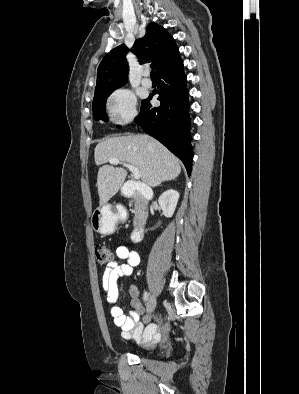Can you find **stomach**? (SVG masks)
I'll list each match as a JSON object with an SVG mask.
<instances>
[{
    "label": "stomach",
    "mask_w": 299,
    "mask_h": 394,
    "mask_svg": "<svg viewBox=\"0 0 299 394\" xmlns=\"http://www.w3.org/2000/svg\"><path fill=\"white\" fill-rule=\"evenodd\" d=\"M119 218V215L112 210L110 204H104L93 211L91 226L102 235H110L114 233Z\"/></svg>",
    "instance_id": "1"
}]
</instances>
